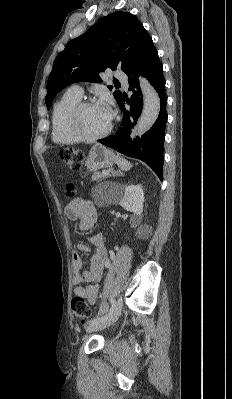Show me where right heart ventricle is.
I'll list each match as a JSON object with an SVG mask.
<instances>
[{
	"label": "right heart ventricle",
	"instance_id": "right-heart-ventricle-1",
	"mask_svg": "<svg viewBox=\"0 0 232 399\" xmlns=\"http://www.w3.org/2000/svg\"><path fill=\"white\" fill-rule=\"evenodd\" d=\"M81 97L66 94L52 108L51 136L52 140L62 146H73L78 141L69 133L67 119L73 107L80 102ZM102 103V102H100Z\"/></svg>",
	"mask_w": 232,
	"mask_h": 399
}]
</instances>
